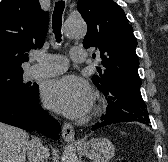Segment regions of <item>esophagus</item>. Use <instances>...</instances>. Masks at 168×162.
<instances>
[{
	"label": "esophagus",
	"instance_id": "esophagus-1",
	"mask_svg": "<svg viewBox=\"0 0 168 162\" xmlns=\"http://www.w3.org/2000/svg\"><path fill=\"white\" fill-rule=\"evenodd\" d=\"M62 137L67 142H76L75 141V131L71 124L64 123L62 127Z\"/></svg>",
	"mask_w": 168,
	"mask_h": 162
}]
</instances>
